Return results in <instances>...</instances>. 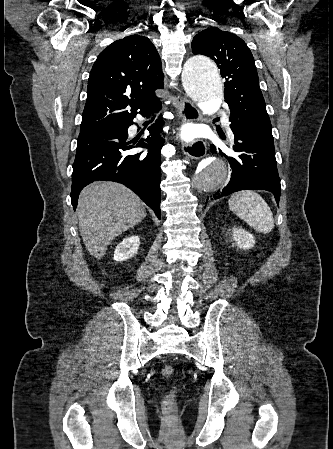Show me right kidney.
Returning a JSON list of instances; mask_svg holds the SVG:
<instances>
[{
  "instance_id": "1",
  "label": "right kidney",
  "mask_w": 333,
  "mask_h": 449,
  "mask_svg": "<svg viewBox=\"0 0 333 449\" xmlns=\"http://www.w3.org/2000/svg\"><path fill=\"white\" fill-rule=\"evenodd\" d=\"M140 238L138 236H130L119 243L114 251V260L125 261L132 258L138 251Z\"/></svg>"
}]
</instances>
